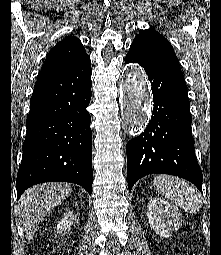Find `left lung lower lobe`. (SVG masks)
<instances>
[{"mask_svg": "<svg viewBox=\"0 0 221 255\" xmlns=\"http://www.w3.org/2000/svg\"><path fill=\"white\" fill-rule=\"evenodd\" d=\"M125 62H137L145 69L154 102L147 128L127 144L129 191L148 174H172L189 180L202 192V171L194 152L185 83L132 50Z\"/></svg>", "mask_w": 221, "mask_h": 255, "instance_id": "obj_1", "label": "left lung lower lobe"}]
</instances>
